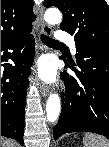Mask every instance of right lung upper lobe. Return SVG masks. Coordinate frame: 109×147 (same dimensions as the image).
<instances>
[{"instance_id":"1","label":"right lung upper lobe","mask_w":109,"mask_h":147,"mask_svg":"<svg viewBox=\"0 0 109 147\" xmlns=\"http://www.w3.org/2000/svg\"><path fill=\"white\" fill-rule=\"evenodd\" d=\"M32 7L30 0H1V43L32 30Z\"/></svg>"}]
</instances>
